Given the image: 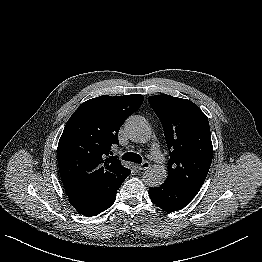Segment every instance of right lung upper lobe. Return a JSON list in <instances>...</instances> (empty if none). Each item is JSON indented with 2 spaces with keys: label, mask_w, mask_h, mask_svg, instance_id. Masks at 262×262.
<instances>
[{
  "label": "right lung upper lobe",
  "mask_w": 262,
  "mask_h": 262,
  "mask_svg": "<svg viewBox=\"0 0 262 262\" xmlns=\"http://www.w3.org/2000/svg\"><path fill=\"white\" fill-rule=\"evenodd\" d=\"M143 95H103L84 102L68 120L58 144V166L68 197L103 196L118 189L130 170L114 156L118 132Z\"/></svg>",
  "instance_id": "obj_1"
}]
</instances>
